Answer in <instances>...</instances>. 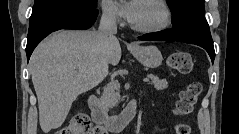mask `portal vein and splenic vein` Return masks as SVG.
I'll return each instance as SVG.
<instances>
[{
  "mask_svg": "<svg viewBox=\"0 0 239 134\" xmlns=\"http://www.w3.org/2000/svg\"><path fill=\"white\" fill-rule=\"evenodd\" d=\"M149 81V78H144L143 79V82H148Z\"/></svg>",
  "mask_w": 239,
  "mask_h": 134,
  "instance_id": "18ae733b",
  "label": "portal vein and splenic vein"
}]
</instances>
